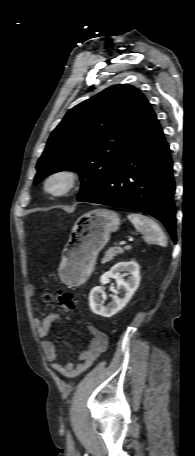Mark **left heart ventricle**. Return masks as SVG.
<instances>
[{"label": "left heart ventricle", "mask_w": 195, "mask_h": 456, "mask_svg": "<svg viewBox=\"0 0 195 456\" xmlns=\"http://www.w3.org/2000/svg\"><path fill=\"white\" fill-rule=\"evenodd\" d=\"M60 186V182H54L52 183V187L58 188Z\"/></svg>", "instance_id": "obj_1"}]
</instances>
